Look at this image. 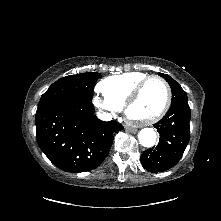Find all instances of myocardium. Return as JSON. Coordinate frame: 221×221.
<instances>
[{"label": "myocardium", "mask_w": 221, "mask_h": 221, "mask_svg": "<svg viewBox=\"0 0 221 221\" xmlns=\"http://www.w3.org/2000/svg\"><path fill=\"white\" fill-rule=\"evenodd\" d=\"M151 80H158L163 84V86L165 88V92H166V98H165L164 105L160 109L159 112H157L156 114H154L153 116H151L149 118L135 119L130 115V109L134 105V103L137 101V99L139 98L145 85L148 82H150ZM171 99H172L171 88L165 79H163L162 77H160L158 75L147 76L133 89V91L131 92V94L129 95V97L127 98V100L124 104V114H125L126 120L130 124L137 126V127L152 125L155 122H157L158 120H160L166 114V112L168 111V109L171 105Z\"/></svg>", "instance_id": "f54148a6"}]
</instances>
